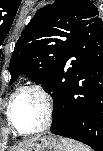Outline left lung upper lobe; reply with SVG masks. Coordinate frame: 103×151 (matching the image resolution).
Masks as SVG:
<instances>
[{"label": "left lung upper lobe", "mask_w": 103, "mask_h": 151, "mask_svg": "<svg viewBox=\"0 0 103 151\" xmlns=\"http://www.w3.org/2000/svg\"><path fill=\"white\" fill-rule=\"evenodd\" d=\"M98 15L97 7L89 0H57L39 9L15 45L10 84L24 73L44 87L80 34L94 24L103 25Z\"/></svg>", "instance_id": "obj_1"}]
</instances>
